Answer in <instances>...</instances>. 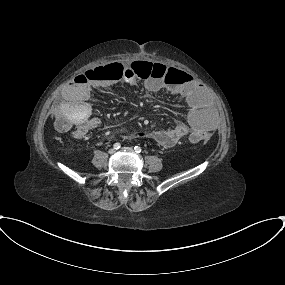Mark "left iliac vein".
I'll return each instance as SVG.
<instances>
[{"mask_svg": "<svg viewBox=\"0 0 285 285\" xmlns=\"http://www.w3.org/2000/svg\"><path fill=\"white\" fill-rule=\"evenodd\" d=\"M122 150L129 151V152L133 151L131 147H123Z\"/></svg>", "mask_w": 285, "mask_h": 285, "instance_id": "1", "label": "left iliac vein"}]
</instances>
